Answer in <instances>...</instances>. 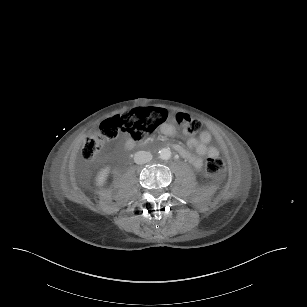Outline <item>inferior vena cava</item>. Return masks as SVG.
I'll list each match as a JSON object with an SVG mask.
<instances>
[{
  "label": "inferior vena cava",
  "mask_w": 307,
  "mask_h": 307,
  "mask_svg": "<svg viewBox=\"0 0 307 307\" xmlns=\"http://www.w3.org/2000/svg\"><path fill=\"white\" fill-rule=\"evenodd\" d=\"M152 154L148 151H138L134 155V162L138 165L146 164L152 160Z\"/></svg>",
  "instance_id": "obj_1"
}]
</instances>
